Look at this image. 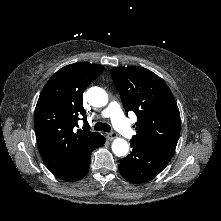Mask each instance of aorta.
<instances>
[{"instance_id":"762f6f07","label":"aorta","mask_w":221,"mask_h":221,"mask_svg":"<svg viewBox=\"0 0 221 221\" xmlns=\"http://www.w3.org/2000/svg\"><path fill=\"white\" fill-rule=\"evenodd\" d=\"M87 99L90 105L94 107H103L108 103L106 91L100 87H91L87 91ZM129 146L126 140L117 138L112 143V151L118 156H125L128 153Z\"/></svg>"}]
</instances>
